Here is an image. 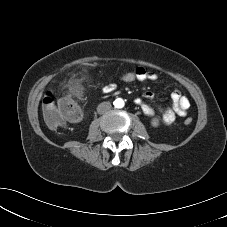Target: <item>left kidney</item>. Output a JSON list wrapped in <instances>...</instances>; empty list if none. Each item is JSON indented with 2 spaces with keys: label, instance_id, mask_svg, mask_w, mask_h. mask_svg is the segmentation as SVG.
<instances>
[{
  "label": "left kidney",
  "instance_id": "obj_1",
  "mask_svg": "<svg viewBox=\"0 0 227 227\" xmlns=\"http://www.w3.org/2000/svg\"><path fill=\"white\" fill-rule=\"evenodd\" d=\"M151 125H152L153 127H157V126L159 125L158 119H156V118L152 119V120H151Z\"/></svg>",
  "mask_w": 227,
  "mask_h": 227
}]
</instances>
